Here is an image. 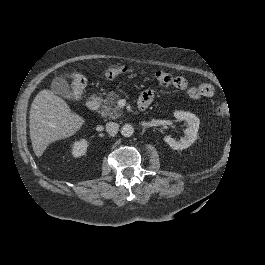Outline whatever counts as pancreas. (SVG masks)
<instances>
[{"mask_svg":"<svg viewBox=\"0 0 265 265\" xmlns=\"http://www.w3.org/2000/svg\"><path fill=\"white\" fill-rule=\"evenodd\" d=\"M118 95L111 91L107 97L102 101L101 115L110 119H116L122 115V110L116 105Z\"/></svg>","mask_w":265,"mask_h":265,"instance_id":"cf45deb5","label":"pancreas"}]
</instances>
